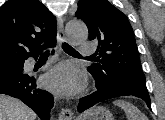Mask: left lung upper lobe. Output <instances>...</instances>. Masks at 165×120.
<instances>
[{
  "label": "left lung upper lobe",
  "instance_id": "obj_1",
  "mask_svg": "<svg viewBox=\"0 0 165 120\" xmlns=\"http://www.w3.org/2000/svg\"><path fill=\"white\" fill-rule=\"evenodd\" d=\"M75 16L85 22L89 40H98V63L88 67L99 91L148 93L133 29L107 0H79Z\"/></svg>",
  "mask_w": 165,
  "mask_h": 120
}]
</instances>
